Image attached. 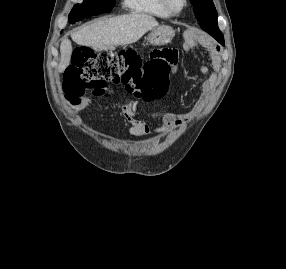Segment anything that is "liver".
Wrapping results in <instances>:
<instances>
[{
    "label": "liver",
    "instance_id": "6515ba94",
    "mask_svg": "<svg viewBox=\"0 0 286 269\" xmlns=\"http://www.w3.org/2000/svg\"><path fill=\"white\" fill-rule=\"evenodd\" d=\"M158 22L150 15L131 13L105 20H97L72 33L71 38L79 45L104 50L117 45L138 41L148 30L157 27ZM61 58L58 71L64 72L72 55L71 41L64 39L60 45Z\"/></svg>",
    "mask_w": 286,
    "mask_h": 269
}]
</instances>
